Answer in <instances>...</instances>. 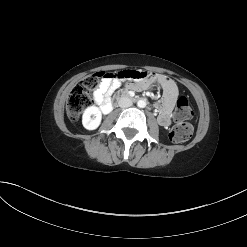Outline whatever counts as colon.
Returning <instances> with one entry per match:
<instances>
[{
  "label": "colon",
  "mask_w": 247,
  "mask_h": 247,
  "mask_svg": "<svg viewBox=\"0 0 247 247\" xmlns=\"http://www.w3.org/2000/svg\"><path fill=\"white\" fill-rule=\"evenodd\" d=\"M113 76L118 75L96 72L86 77L80 82V84L76 85L72 89L67 101L66 109L68 117L73 121L77 120L83 110L92 103V91L96 90L100 86L103 79ZM192 115L193 111L189 106L186 97H179L174 111L176 124L170 132V139L173 142L182 143L191 137L193 128L187 120L190 119Z\"/></svg>",
  "instance_id": "1"
}]
</instances>
